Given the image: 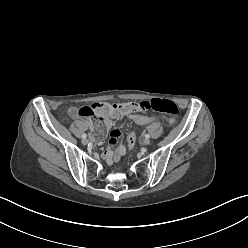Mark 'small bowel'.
<instances>
[{"label":"small bowel","instance_id":"obj_1","mask_svg":"<svg viewBox=\"0 0 248 248\" xmlns=\"http://www.w3.org/2000/svg\"><path fill=\"white\" fill-rule=\"evenodd\" d=\"M78 111L79 109L72 107L68 110V115L71 118H77L79 116ZM132 112H135V111H127L121 117L128 118V114ZM121 117H115V118H121ZM163 119H165L169 123L174 122V120L171 118L163 117ZM121 141H122V136H121L120 130L117 128H113L109 136L108 147L103 153V158L105 159L108 165H112L113 163L118 162L120 158L126 153V146L124 144H120Z\"/></svg>","mask_w":248,"mask_h":248}]
</instances>
